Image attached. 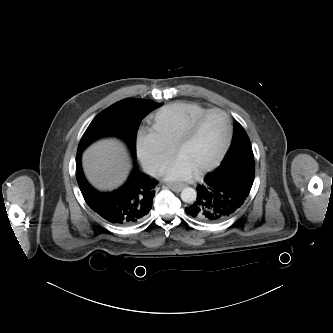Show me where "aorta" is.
I'll use <instances>...</instances> for the list:
<instances>
[{"instance_id":"1","label":"aorta","mask_w":333,"mask_h":333,"mask_svg":"<svg viewBox=\"0 0 333 333\" xmlns=\"http://www.w3.org/2000/svg\"><path fill=\"white\" fill-rule=\"evenodd\" d=\"M196 196V190L191 187L184 188L181 192V200L185 203H193Z\"/></svg>"}]
</instances>
